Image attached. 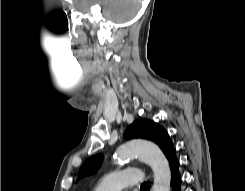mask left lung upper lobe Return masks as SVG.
<instances>
[{"label":"left lung upper lobe","mask_w":245,"mask_h":191,"mask_svg":"<svg viewBox=\"0 0 245 191\" xmlns=\"http://www.w3.org/2000/svg\"><path fill=\"white\" fill-rule=\"evenodd\" d=\"M124 138H142L151 140L159 145L167 159L174 150V145L168 133L160 125L147 119H139L134 121L126 129ZM102 159V155H95L86 160L79 171L78 179L82 176L91 175L96 172Z\"/></svg>","instance_id":"1"}]
</instances>
